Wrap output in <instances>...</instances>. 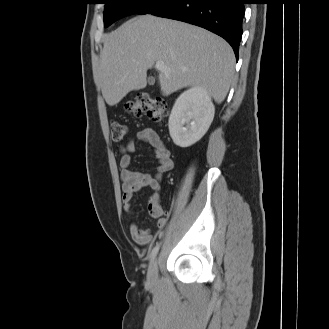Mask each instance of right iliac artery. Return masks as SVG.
<instances>
[{
    "instance_id": "82829eb1",
    "label": "right iliac artery",
    "mask_w": 329,
    "mask_h": 329,
    "mask_svg": "<svg viewBox=\"0 0 329 329\" xmlns=\"http://www.w3.org/2000/svg\"><path fill=\"white\" fill-rule=\"evenodd\" d=\"M159 247H160V243H157L156 246L153 248L152 252H151V260H154V258L156 257L158 251H159Z\"/></svg>"
}]
</instances>
